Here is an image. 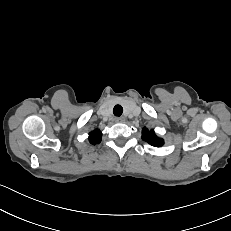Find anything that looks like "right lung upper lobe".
I'll list each match as a JSON object with an SVG mask.
<instances>
[{
    "label": "right lung upper lobe",
    "instance_id": "right-lung-upper-lobe-1",
    "mask_svg": "<svg viewBox=\"0 0 231 231\" xmlns=\"http://www.w3.org/2000/svg\"><path fill=\"white\" fill-rule=\"evenodd\" d=\"M101 136H102V133L100 132V130H94L90 132L89 134L90 143L93 145L100 143Z\"/></svg>",
    "mask_w": 231,
    "mask_h": 231
}]
</instances>
